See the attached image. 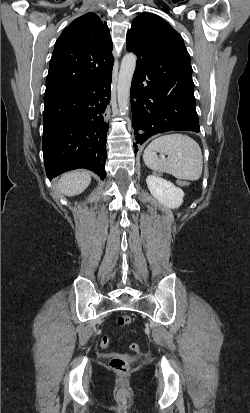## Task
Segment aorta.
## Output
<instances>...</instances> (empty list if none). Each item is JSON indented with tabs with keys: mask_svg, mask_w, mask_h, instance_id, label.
<instances>
[{
	"mask_svg": "<svg viewBox=\"0 0 250 413\" xmlns=\"http://www.w3.org/2000/svg\"><path fill=\"white\" fill-rule=\"evenodd\" d=\"M137 57L134 53H127L121 62L118 84H117V99L121 113L128 114L130 87L132 77L136 68Z\"/></svg>",
	"mask_w": 250,
	"mask_h": 413,
	"instance_id": "aorta-1",
	"label": "aorta"
}]
</instances>
